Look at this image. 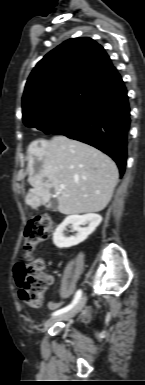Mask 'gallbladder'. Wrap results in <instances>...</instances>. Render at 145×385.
Here are the masks:
<instances>
[{"label":"gallbladder","mask_w":145,"mask_h":385,"mask_svg":"<svg viewBox=\"0 0 145 385\" xmlns=\"http://www.w3.org/2000/svg\"><path fill=\"white\" fill-rule=\"evenodd\" d=\"M47 207L49 209H52L53 211H56L58 208V201L56 198H52L50 202L48 203Z\"/></svg>","instance_id":"1"}]
</instances>
